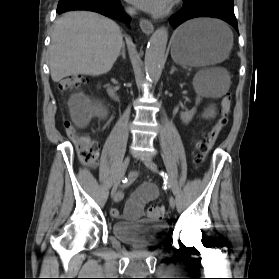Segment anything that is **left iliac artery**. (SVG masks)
I'll use <instances>...</instances> for the list:
<instances>
[{
  "mask_svg": "<svg viewBox=\"0 0 279 279\" xmlns=\"http://www.w3.org/2000/svg\"><path fill=\"white\" fill-rule=\"evenodd\" d=\"M160 174H161V176H163V178H164L165 187H169V184H168V181H167V174L164 173V172H161Z\"/></svg>",
  "mask_w": 279,
  "mask_h": 279,
  "instance_id": "left-iliac-artery-1",
  "label": "left iliac artery"
}]
</instances>
